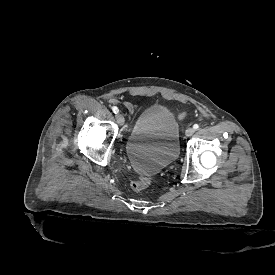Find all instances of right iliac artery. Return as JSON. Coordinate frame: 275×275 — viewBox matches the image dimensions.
I'll return each instance as SVG.
<instances>
[{
    "label": "right iliac artery",
    "instance_id": "1",
    "mask_svg": "<svg viewBox=\"0 0 275 275\" xmlns=\"http://www.w3.org/2000/svg\"><path fill=\"white\" fill-rule=\"evenodd\" d=\"M112 110L115 114H117L119 112L118 108L116 106H113L112 107Z\"/></svg>",
    "mask_w": 275,
    "mask_h": 275
}]
</instances>
